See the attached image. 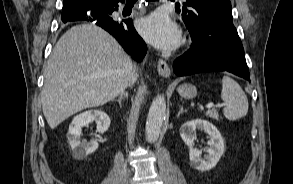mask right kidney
I'll list each match as a JSON object with an SVG mask.
<instances>
[{"mask_svg": "<svg viewBox=\"0 0 293 184\" xmlns=\"http://www.w3.org/2000/svg\"><path fill=\"white\" fill-rule=\"evenodd\" d=\"M93 121L96 122L100 134L105 133L110 127L109 116L101 110L85 111L74 117L69 126L67 138L76 159H83L98 148V142L94 139L90 142L81 141L82 128Z\"/></svg>", "mask_w": 293, "mask_h": 184, "instance_id": "obj_1", "label": "right kidney"}]
</instances>
